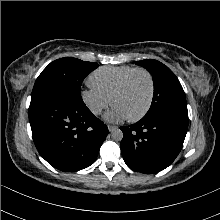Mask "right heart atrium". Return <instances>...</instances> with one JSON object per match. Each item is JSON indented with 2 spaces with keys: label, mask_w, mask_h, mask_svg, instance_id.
Wrapping results in <instances>:
<instances>
[{
  "label": "right heart atrium",
  "mask_w": 220,
  "mask_h": 220,
  "mask_svg": "<svg viewBox=\"0 0 220 220\" xmlns=\"http://www.w3.org/2000/svg\"><path fill=\"white\" fill-rule=\"evenodd\" d=\"M81 100L93 115L101 114L111 102L109 97L92 86L81 91Z\"/></svg>",
  "instance_id": "1"
}]
</instances>
